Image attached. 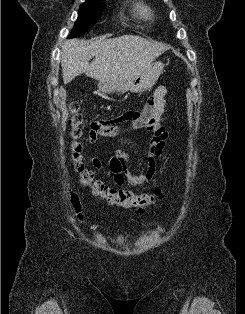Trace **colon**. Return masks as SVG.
I'll list each match as a JSON object with an SVG mask.
<instances>
[{
	"mask_svg": "<svg viewBox=\"0 0 245 314\" xmlns=\"http://www.w3.org/2000/svg\"><path fill=\"white\" fill-rule=\"evenodd\" d=\"M70 117L69 135L71 137L70 161L73 165L74 171L79 177L81 185L91 189L93 195L107 201L109 204L118 205L122 207H137L144 209L155 203L157 198L162 196V190L158 189L154 193H135L130 190L117 189L111 187L104 182L95 178L93 172L84 164L82 157V144L80 139L82 137V125L84 116L81 113L80 106L77 102H71L69 105ZM71 202L79 220H82L81 203L77 194L71 193Z\"/></svg>",
	"mask_w": 245,
	"mask_h": 314,
	"instance_id": "5ec220e1",
	"label": "colon"
}]
</instances>
